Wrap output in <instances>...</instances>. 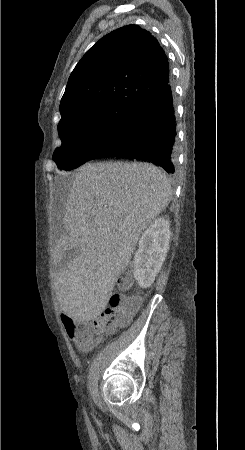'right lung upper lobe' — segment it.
I'll return each instance as SVG.
<instances>
[{
  "mask_svg": "<svg viewBox=\"0 0 245 450\" xmlns=\"http://www.w3.org/2000/svg\"><path fill=\"white\" fill-rule=\"evenodd\" d=\"M168 83V59L156 38L137 25H127L101 38L78 62L60 112L64 117L106 103L135 109Z\"/></svg>",
  "mask_w": 245,
  "mask_h": 450,
  "instance_id": "cb5924a9",
  "label": "right lung upper lobe"
}]
</instances>
